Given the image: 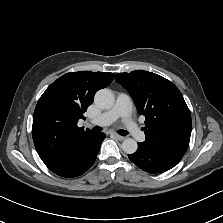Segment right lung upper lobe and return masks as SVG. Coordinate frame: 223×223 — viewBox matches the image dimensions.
Wrapping results in <instances>:
<instances>
[{"instance_id":"right-lung-upper-lobe-1","label":"right lung upper lobe","mask_w":223,"mask_h":223,"mask_svg":"<svg viewBox=\"0 0 223 223\" xmlns=\"http://www.w3.org/2000/svg\"><path fill=\"white\" fill-rule=\"evenodd\" d=\"M113 73L70 72L53 82L42 94L33 115L32 135L36 150L51 170L68 164L82 143L92 136L77 126L93 102L95 93L108 86Z\"/></svg>"}]
</instances>
